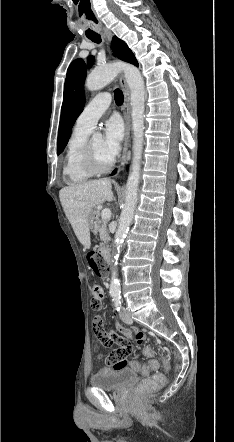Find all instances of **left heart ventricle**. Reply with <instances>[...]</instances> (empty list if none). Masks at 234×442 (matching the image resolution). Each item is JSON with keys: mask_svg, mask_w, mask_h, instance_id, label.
<instances>
[{"mask_svg": "<svg viewBox=\"0 0 234 442\" xmlns=\"http://www.w3.org/2000/svg\"><path fill=\"white\" fill-rule=\"evenodd\" d=\"M92 147L95 152L96 158L101 165H105L111 160V158L104 151V144L102 139L92 140Z\"/></svg>", "mask_w": 234, "mask_h": 442, "instance_id": "b2bd125f", "label": "left heart ventricle"}]
</instances>
